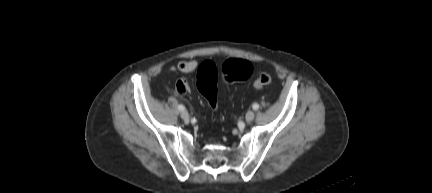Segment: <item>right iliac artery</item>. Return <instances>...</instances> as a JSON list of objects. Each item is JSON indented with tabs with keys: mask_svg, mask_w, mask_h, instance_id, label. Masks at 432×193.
<instances>
[{
	"mask_svg": "<svg viewBox=\"0 0 432 193\" xmlns=\"http://www.w3.org/2000/svg\"><path fill=\"white\" fill-rule=\"evenodd\" d=\"M178 109H179L180 111H184V110H185V107H184L183 105H178Z\"/></svg>",
	"mask_w": 432,
	"mask_h": 193,
	"instance_id": "82829eb1",
	"label": "right iliac artery"
}]
</instances>
